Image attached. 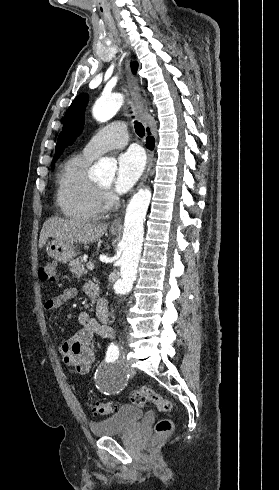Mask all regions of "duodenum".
Instances as JSON below:
<instances>
[{"label": "duodenum", "mask_w": 279, "mask_h": 490, "mask_svg": "<svg viewBox=\"0 0 279 490\" xmlns=\"http://www.w3.org/2000/svg\"><path fill=\"white\" fill-rule=\"evenodd\" d=\"M99 293V287L97 285L93 286L92 294L96 296Z\"/></svg>", "instance_id": "obj_1"}]
</instances>
